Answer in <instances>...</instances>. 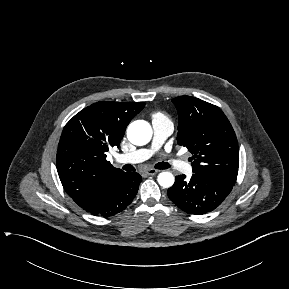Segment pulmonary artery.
I'll return each mask as SVG.
<instances>
[{
    "label": "pulmonary artery",
    "instance_id": "obj_1",
    "mask_svg": "<svg viewBox=\"0 0 289 289\" xmlns=\"http://www.w3.org/2000/svg\"><path fill=\"white\" fill-rule=\"evenodd\" d=\"M153 140L149 149H139L127 154L117 156V161L121 163H139L147 160L151 155L158 150L169 135L173 132V125L169 121L153 120ZM171 168H174L183 173H191V166L180 159H169L168 162Z\"/></svg>",
    "mask_w": 289,
    "mask_h": 289
}]
</instances>
